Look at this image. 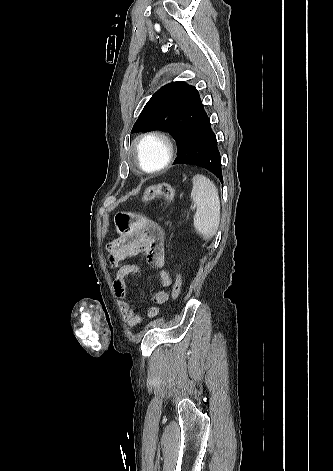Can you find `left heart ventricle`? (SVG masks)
Segmentation results:
<instances>
[{
  "label": "left heart ventricle",
  "instance_id": "1",
  "mask_svg": "<svg viewBox=\"0 0 333 471\" xmlns=\"http://www.w3.org/2000/svg\"><path fill=\"white\" fill-rule=\"evenodd\" d=\"M164 157L161 144L155 141L145 143L141 148V159L145 167L154 168L159 165Z\"/></svg>",
  "mask_w": 333,
  "mask_h": 471
}]
</instances>
